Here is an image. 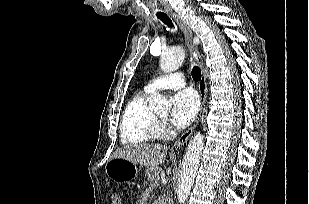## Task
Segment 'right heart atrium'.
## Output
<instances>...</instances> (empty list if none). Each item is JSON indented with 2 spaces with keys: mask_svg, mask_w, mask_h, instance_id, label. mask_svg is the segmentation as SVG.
<instances>
[{
  "mask_svg": "<svg viewBox=\"0 0 309 204\" xmlns=\"http://www.w3.org/2000/svg\"><path fill=\"white\" fill-rule=\"evenodd\" d=\"M169 131L168 127L166 126V124H160L159 125V132L160 133H167Z\"/></svg>",
  "mask_w": 309,
  "mask_h": 204,
  "instance_id": "d8ad5b80",
  "label": "right heart atrium"
}]
</instances>
